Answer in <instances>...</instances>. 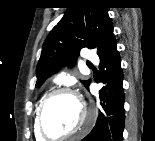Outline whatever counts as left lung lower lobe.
<instances>
[{
    "label": "left lung lower lobe",
    "instance_id": "obj_1",
    "mask_svg": "<svg viewBox=\"0 0 155 141\" xmlns=\"http://www.w3.org/2000/svg\"><path fill=\"white\" fill-rule=\"evenodd\" d=\"M98 56L100 69L106 73L104 83L107 82V85L100 93L106 104H101L104 113H101L92 131L82 141H122L125 121L123 71L114 35L108 39Z\"/></svg>",
    "mask_w": 155,
    "mask_h": 141
}]
</instances>
